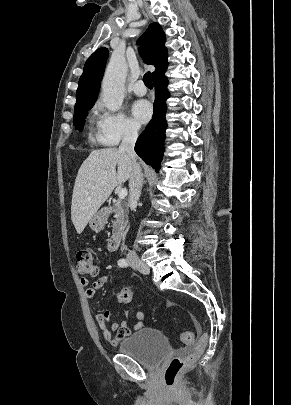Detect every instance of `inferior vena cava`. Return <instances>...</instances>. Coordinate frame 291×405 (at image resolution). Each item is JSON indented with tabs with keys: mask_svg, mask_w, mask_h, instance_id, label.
Returning a JSON list of instances; mask_svg holds the SVG:
<instances>
[{
	"mask_svg": "<svg viewBox=\"0 0 291 405\" xmlns=\"http://www.w3.org/2000/svg\"><path fill=\"white\" fill-rule=\"evenodd\" d=\"M138 138V129L130 127L126 130L119 150L128 154L131 159V173L129 178V204L135 205L139 200L143 183V174L140 165L137 163V156L134 146ZM127 260L137 261L138 257L134 251H130Z\"/></svg>",
	"mask_w": 291,
	"mask_h": 405,
	"instance_id": "602c4592",
	"label": "inferior vena cava"
}]
</instances>
